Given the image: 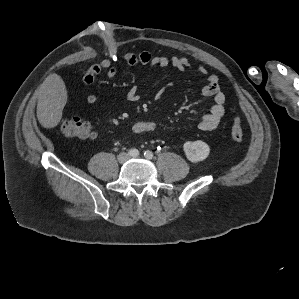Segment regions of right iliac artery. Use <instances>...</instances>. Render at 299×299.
<instances>
[{
  "instance_id": "1",
  "label": "right iliac artery",
  "mask_w": 299,
  "mask_h": 299,
  "mask_svg": "<svg viewBox=\"0 0 299 299\" xmlns=\"http://www.w3.org/2000/svg\"><path fill=\"white\" fill-rule=\"evenodd\" d=\"M128 154L133 157H137L139 155V151L137 149H130Z\"/></svg>"
}]
</instances>
